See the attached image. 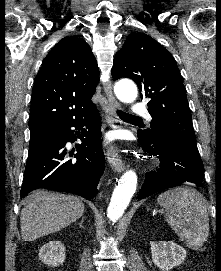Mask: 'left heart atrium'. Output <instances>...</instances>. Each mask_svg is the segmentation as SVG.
Instances as JSON below:
<instances>
[{
    "label": "left heart atrium",
    "instance_id": "obj_1",
    "mask_svg": "<svg viewBox=\"0 0 221 271\" xmlns=\"http://www.w3.org/2000/svg\"><path fill=\"white\" fill-rule=\"evenodd\" d=\"M111 137H113V138H114V137H116V135H115V134H113Z\"/></svg>",
    "mask_w": 221,
    "mask_h": 271
}]
</instances>
